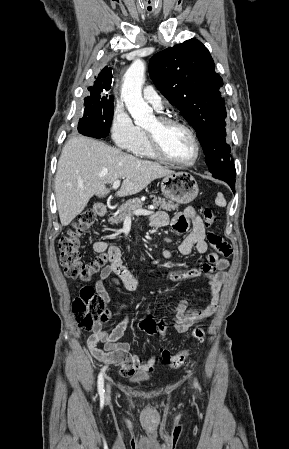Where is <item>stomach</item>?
<instances>
[{
    "instance_id": "obj_1",
    "label": "stomach",
    "mask_w": 289,
    "mask_h": 449,
    "mask_svg": "<svg viewBox=\"0 0 289 449\" xmlns=\"http://www.w3.org/2000/svg\"><path fill=\"white\" fill-rule=\"evenodd\" d=\"M162 194L179 204H188L198 195L196 180L187 172H173L161 182Z\"/></svg>"
}]
</instances>
